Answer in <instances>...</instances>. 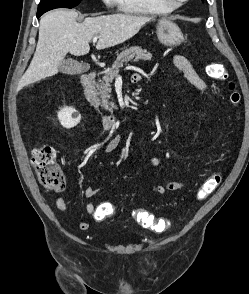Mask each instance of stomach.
I'll list each match as a JSON object with an SVG mask.
<instances>
[{"label":"stomach","mask_w":249,"mask_h":294,"mask_svg":"<svg viewBox=\"0 0 249 294\" xmlns=\"http://www.w3.org/2000/svg\"><path fill=\"white\" fill-rule=\"evenodd\" d=\"M157 37L164 46L174 47L180 45L183 40V34L180 28L168 19H160L157 24Z\"/></svg>","instance_id":"1"}]
</instances>
